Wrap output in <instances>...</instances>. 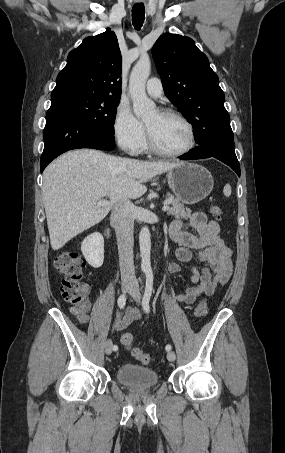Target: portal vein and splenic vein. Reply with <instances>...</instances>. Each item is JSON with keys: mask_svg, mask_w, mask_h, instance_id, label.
I'll use <instances>...</instances> for the list:
<instances>
[{"mask_svg": "<svg viewBox=\"0 0 285 453\" xmlns=\"http://www.w3.org/2000/svg\"><path fill=\"white\" fill-rule=\"evenodd\" d=\"M170 209L169 205L167 202L164 203V206H163V211H168Z\"/></svg>", "mask_w": 285, "mask_h": 453, "instance_id": "18ae733b", "label": "portal vein and splenic vein"}]
</instances>
